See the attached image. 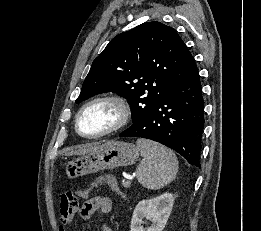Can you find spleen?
I'll list each match as a JSON object with an SVG mask.
<instances>
[{"mask_svg":"<svg viewBox=\"0 0 261 231\" xmlns=\"http://www.w3.org/2000/svg\"><path fill=\"white\" fill-rule=\"evenodd\" d=\"M143 160L136 169L138 181L147 189L156 190L172 182L178 172L176 155L165 146L146 139L136 141Z\"/></svg>","mask_w":261,"mask_h":231,"instance_id":"spleen-1","label":"spleen"}]
</instances>
